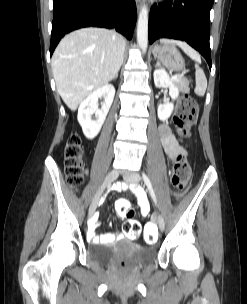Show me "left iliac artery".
I'll use <instances>...</instances> for the list:
<instances>
[{
  "instance_id": "1",
  "label": "left iliac artery",
  "mask_w": 247,
  "mask_h": 304,
  "mask_svg": "<svg viewBox=\"0 0 247 304\" xmlns=\"http://www.w3.org/2000/svg\"><path fill=\"white\" fill-rule=\"evenodd\" d=\"M142 178L144 180L145 185L147 186V188L149 190V193H150L155 205H157V199H156L155 192L153 190L152 184L150 182V179L148 178V176L144 172H142Z\"/></svg>"
}]
</instances>
